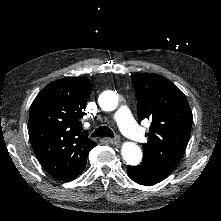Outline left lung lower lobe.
<instances>
[{
  "mask_svg": "<svg viewBox=\"0 0 221 221\" xmlns=\"http://www.w3.org/2000/svg\"><path fill=\"white\" fill-rule=\"evenodd\" d=\"M129 177L136 183L142 185H153L163 180L168 174L151 165L149 161L143 159L142 163L135 167H128Z\"/></svg>",
  "mask_w": 221,
  "mask_h": 221,
  "instance_id": "1",
  "label": "left lung lower lobe"
}]
</instances>
